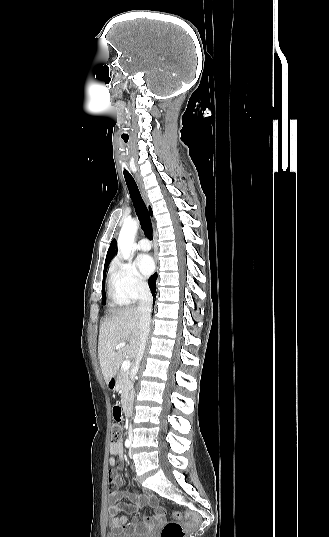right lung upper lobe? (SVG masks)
Masks as SVG:
<instances>
[{
  "instance_id": "right-lung-upper-lobe-1",
  "label": "right lung upper lobe",
  "mask_w": 329,
  "mask_h": 537,
  "mask_svg": "<svg viewBox=\"0 0 329 537\" xmlns=\"http://www.w3.org/2000/svg\"><path fill=\"white\" fill-rule=\"evenodd\" d=\"M150 211H151V208H150ZM115 253H116V250H115V240H113L111 242V245L108 249V252H107V256H106V260H105V265H104V269L108 267L110 261L112 260V258L115 256Z\"/></svg>"
}]
</instances>
